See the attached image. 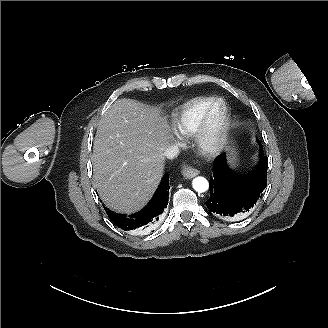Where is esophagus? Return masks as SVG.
<instances>
[{"label":"esophagus","mask_w":328,"mask_h":328,"mask_svg":"<svg viewBox=\"0 0 328 328\" xmlns=\"http://www.w3.org/2000/svg\"><path fill=\"white\" fill-rule=\"evenodd\" d=\"M200 173V171L194 167H192L191 165L187 164V163H184L182 165V175L185 177V178H193L195 177L196 175H198Z\"/></svg>","instance_id":"1"}]
</instances>
